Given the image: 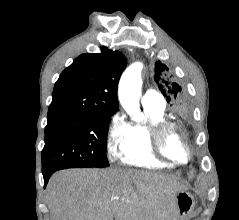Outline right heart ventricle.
Wrapping results in <instances>:
<instances>
[{
	"instance_id": "e07e8e85",
	"label": "right heart ventricle",
	"mask_w": 239,
	"mask_h": 220,
	"mask_svg": "<svg viewBox=\"0 0 239 220\" xmlns=\"http://www.w3.org/2000/svg\"><path fill=\"white\" fill-rule=\"evenodd\" d=\"M145 121L130 125L129 135L118 149L116 158L126 166L155 169L170 167L171 164L155 156L150 145V128L165 122V110L143 106Z\"/></svg>"
}]
</instances>
